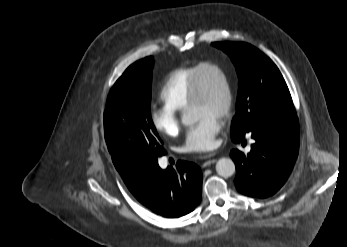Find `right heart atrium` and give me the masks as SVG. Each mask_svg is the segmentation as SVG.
Instances as JSON below:
<instances>
[{"mask_svg": "<svg viewBox=\"0 0 347 247\" xmlns=\"http://www.w3.org/2000/svg\"><path fill=\"white\" fill-rule=\"evenodd\" d=\"M150 120L155 130L163 135L175 136L179 132L177 112L164 105L150 110Z\"/></svg>", "mask_w": 347, "mask_h": 247, "instance_id": "d8ad5b80", "label": "right heart atrium"}]
</instances>
